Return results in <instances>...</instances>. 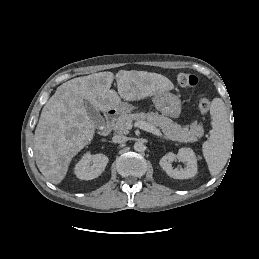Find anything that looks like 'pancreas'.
Returning <instances> with one entry per match:
<instances>
[{"label":"pancreas","instance_id":"pancreas-1","mask_svg":"<svg viewBox=\"0 0 259 259\" xmlns=\"http://www.w3.org/2000/svg\"><path fill=\"white\" fill-rule=\"evenodd\" d=\"M134 121H145L155 127H158L163 132L164 138L172 141L182 143L195 142L197 141V138H200L203 135L202 125L197 122L181 127L170 118L160 115L157 112H140L121 115L115 122L112 123V128L118 134H128L130 129L128 124H132Z\"/></svg>","mask_w":259,"mask_h":259}]
</instances>
